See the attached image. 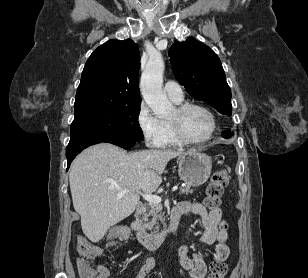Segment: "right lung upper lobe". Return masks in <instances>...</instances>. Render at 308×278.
Segmentation results:
<instances>
[{
	"label": "right lung upper lobe",
	"mask_w": 308,
	"mask_h": 278,
	"mask_svg": "<svg viewBox=\"0 0 308 278\" xmlns=\"http://www.w3.org/2000/svg\"><path fill=\"white\" fill-rule=\"evenodd\" d=\"M140 53L131 39L109 40L87 60L74 103V115L141 103Z\"/></svg>",
	"instance_id": "obj_1"
}]
</instances>
